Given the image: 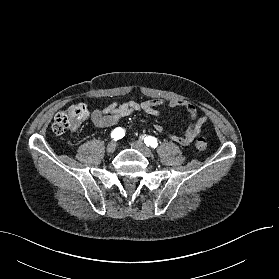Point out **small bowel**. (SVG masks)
Instances as JSON below:
<instances>
[{"instance_id": "small-bowel-1", "label": "small bowel", "mask_w": 279, "mask_h": 279, "mask_svg": "<svg viewBox=\"0 0 279 279\" xmlns=\"http://www.w3.org/2000/svg\"><path fill=\"white\" fill-rule=\"evenodd\" d=\"M164 105L172 108H182L188 113L191 123L185 133L182 136L169 134V137L174 142L184 146L191 144L200 135L207 118L205 115H199L197 107L185 100L164 101L162 99H150L142 102H112L103 109L93 110L91 120L97 127H111L121 119L137 111L156 116L160 113V108ZM152 127L157 132H165V129L160 124H153Z\"/></svg>"}]
</instances>
